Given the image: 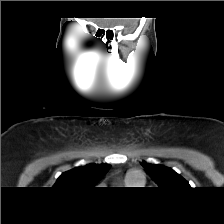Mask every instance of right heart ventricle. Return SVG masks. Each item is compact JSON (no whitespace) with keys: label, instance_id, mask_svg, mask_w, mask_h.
I'll return each mask as SVG.
<instances>
[{"label":"right heart ventricle","instance_id":"obj_1","mask_svg":"<svg viewBox=\"0 0 224 224\" xmlns=\"http://www.w3.org/2000/svg\"><path fill=\"white\" fill-rule=\"evenodd\" d=\"M126 183L130 186H134V185H138V183L134 182V181H131L129 178L128 180L126 181Z\"/></svg>","mask_w":224,"mask_h":224}]
</instances>
